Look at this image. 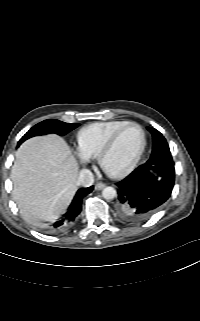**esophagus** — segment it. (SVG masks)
Here are the masks:
<instances>
[{
	"label": "esophagus",
	"instance_id": "esophagus-1",
	"mask_svg": "<svg viewBox=\"0 0 200 321\" xmlns=\"http://www.w3.org/2000/svg\"><path fill=\"white\" fill-rule=\"evenodd\" d=\"M104 187H105V184L100 182L95 185L96 190H102Z\"/></svg>",
	"mask_w": 200,
	"mask_h": 321
}]
</instances>
